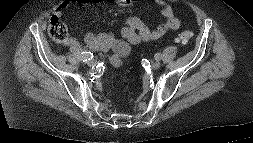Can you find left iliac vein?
<instances>
[{"instance_id": "1", "label": "left iliac vein", "mask_w": 253, "mask_h": 143, "mask_svg": "<svg viewBox=\"0 0 253 143\" xmlns=\"http://www.w3.org/2000/svg\"><path fill=\"white\" fill-rule=\"evenodd\" d=\"M160 66H161V63H160L159 61H155V62L152 64V68H153L154 70L159 69Z\"/></svg>"}]
</instances>
